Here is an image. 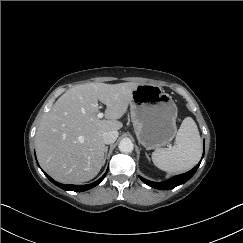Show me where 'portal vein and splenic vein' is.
I'll return each mask as SVG.
<instances>
[{
  "instance_id": "1",
  "label": "portal vein and splenic vein",
  "mask_w": 243,
  "mask_h": 243,
  "mask_svg": "<svg viewBox=\"0 0 243 243\" xmlns=\"http://www.w3.org/2000/svg\"><path fill=\"white\" fill-rule=\"evenodd\" d=\"M97 117H98V118H103V117H104V114H103L102 112H99V113L97 114Z\"/></svg>"
}]
</instances>
